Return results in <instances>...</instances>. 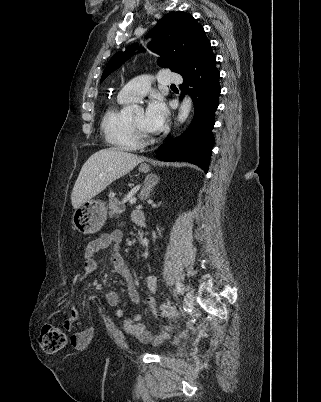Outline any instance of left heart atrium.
<instances>
[{
	"instance_id": "39dd6f15",
	"label": "left heart atrium",
	"mask_w": 321,
	"mask_h": 402,
	"mask_svg": "<svg viewBox=\"0 0 321 402\" xmlns=\"http://www.w3.org/2000/svg\"><path fill=\"white\" fill-rule=\"evenodd\" d=\"M168 116L167 109L160 99H152L144 113V127L150 133L158 132Z\"/></svg>"
}]
</instances>
